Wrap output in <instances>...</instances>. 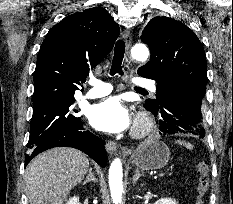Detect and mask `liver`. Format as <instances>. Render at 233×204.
<instances>
[{"instance_id": "liver-1", "label": "liver", "mask_w": 233, "mask_h": 204, "mask_svg": "<svg viewBox=\"0 0 233 204\" xmlns=\"http://www.w3.org/2000/svg\"><path fill=\"white\" fill-rule=\"evenodd\" d=\"M89 168L84 153L58 147L36 156L26 167V194L30 204H63Z\"/></svg>"}]
</instances>
